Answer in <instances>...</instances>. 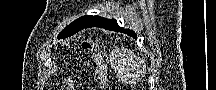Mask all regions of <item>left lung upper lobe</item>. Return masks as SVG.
<instances>
[{"mask_svg":"<svg viewBox=\"0 0 216 90\" xmlns=\"http://www.w3.org/2000/svg\"><path fill=\"white\" fill-rule=\"evenodd\" d=\"M102 19L103 18L99 16H90V15L80 17L79 19L69 24L65 29H63L62 32L59 34L58 39L71 36L79 32L81 29L88 28L89 26L93 25L94 23Z\"/></svg>","mask_w":216,"mask_h":90,"instance_id":"5c2ea615","label":"left lung upper lobe"}]
</instances>
